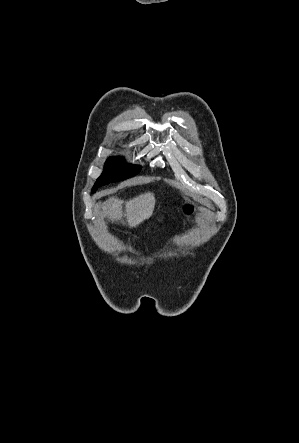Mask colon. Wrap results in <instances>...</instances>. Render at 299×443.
I'll list each match as a JSON object with an SVG mask.
<instances>
[{
  "label": "colon",
  "instance_id": "5ec220e1",
  "mask_svg": "<svg viewBox=\"0 0 299 443\" xmlns=\"http://www.w3.org/2000/svg\"><path fill=\"white\" fill-rule=\"evenodd\" d=\"M193 206L192 205H186L185 206V212L187 213V214H191L192 212H193Z\"/></svg>",
  "mask_w": 299,
  "mask_h": 443
}]
</instances>
